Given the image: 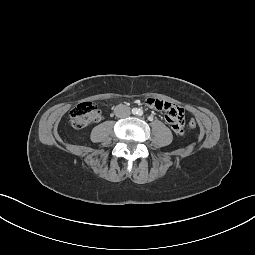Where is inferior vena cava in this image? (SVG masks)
Segmentation results:
<instances>
[{
  "label": "inferior vena cava",
  "mask_w": 255,
  "mask_h": 255,
  "mask_svg": "<svg viewBox=\"0 0 255 255\" xmlns=\"http://www.w3.org/2000/svg\"><path fill=\"white\" fill-rule=\"evenodd\" d=\"M114 112L117 117L123 118L130 115V108L126 105L119 104L115 107Z\"/></svg>",
  "instance_id": "inferior-vena-cava-1"
}]
</instances>
